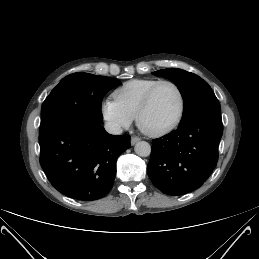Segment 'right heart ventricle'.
I'll use <instances>...</instances> for the list:
<instances>
[{
  "instance_id": "right-heart-ventricle-1",
  "label": "right heart ventricle",
  "mask_w": 259,
  "mask_h": 259,
  "mask_svg": "<svg viewBox=\"0 0 259 259\" xmlns=\"http://www.w3.org/2000/svg\"><path fill=\"white\" fill-rule=\"evenodd\" d=\"M158 81L159 79L156 78H140L125 82L114 91V99L128 115L134 118L147 91Z\"/></svg>"
}]
</instances>
